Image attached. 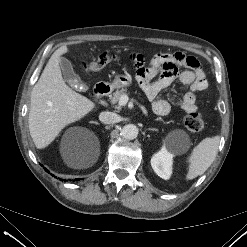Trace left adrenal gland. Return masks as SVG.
I'll use <instances>...</instances> for the list:
<instances>
[{"mask_svg": "<svg viewBox=\"0 0 247 247\" xmlns=\"http://www.w3.org/2000/svg\"><path fill=\"white\" fill-rule=\"evenodd\" d=\"M148 130H151V131H158L156 128H149Z\"/></svg>", "mask_w": 247, "mask_h": 247, "instance_id": "a2214340", "label": "left adrenal gland"}]
</instances>
